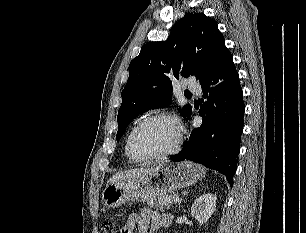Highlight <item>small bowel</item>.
Returning a JSON list of instances; mask_svg holds the SVG:
<instances>
[{"label": "small bowel", "mask_w": 306, "mask_h": 233, "mask_svg": "<svg viewBox=\"0 0 306 233\" xmlns=\"http://www.w3.org/2000/svg\"><path fill=\"white\" fill-rule=\"evenodd\" d=\"M172 216L150 209H142L139 213L129 215L123 233H155L160 228L171 224Z\"/></svg>", "instance_id": "obj_1"}]
</instances>
